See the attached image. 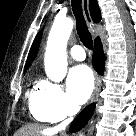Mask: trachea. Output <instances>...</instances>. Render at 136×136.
Here are the masks:
<instances>
[{"instance_id": "trachea-1", "label": "trachea", "mask_w": 136, "mask_h": 136, "mask_svg": "<svg viewBox=\"0 0 136 136\" xmlns=\"http://www.w3.org/2000/svg\"><path fill=\"white\" fill-rule=\"evenodd\" d=\"M82 0H71V6L76 18V30L82 43L88 48H93L91 33L89 32L82 12Z\"/></svg>"}]
</instances>
